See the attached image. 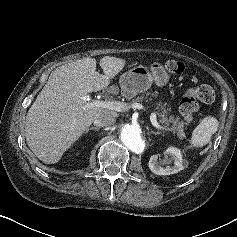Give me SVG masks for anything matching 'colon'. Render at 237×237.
Wrapping results in <instances>:
<instances>
[{"instance_id": "1", "label": "colon", "mask_w": 237, "mask_h": 237, "mask_svg": "<svg viewBox=\"0 0 237 237\" xmlns=\"http://www.w3.org/2000/svg\"><path fill=\"white\" fill-rule=\"evenodd\" d=\"M166 69L176 75H182L185 72L184 64L176 60H169L166 63ZM214 100V89L209 85H199L185 93L180 101L179 110L186 123L194 124L196 121L195 113L199 109V101L209 104Z\"/></svg>"}]
</instances>
